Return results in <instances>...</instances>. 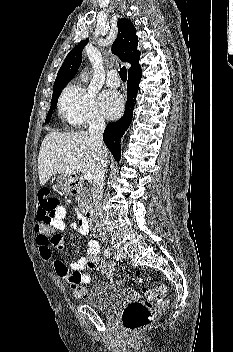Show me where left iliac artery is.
Returning a JSON list of instances; mask_svg holds the SVG:
<instances>
[{
  "mask_svg": "<svg viewBox=\"0 0 233 352\" xmlns=\"http://www.w3.org/2000/svg\"><path fill=\"white\" fill-rule=\"evenodd\" d=\"M115 258H116L117 260L119 259L118 256H116V255H115Z\"/></svg>",
  "mask_w": 233,
  "mask_h": 352,
  "instance_id": "1",
  "label": "left iliac artery"
}]
</instances>
